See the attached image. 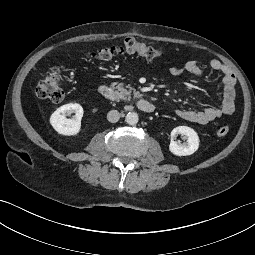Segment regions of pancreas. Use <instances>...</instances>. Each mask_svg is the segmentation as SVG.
Wrapping results in <instances>:
<instances>
[{"label":"pancreas","mask_w":255,"mask_h":255,"mask_svg":"<svg viewBox=\"0 0 255 255\" xmlns=\"http://www.w3.org/2000/svg\"><path fill=\"white\" fill-rule=\"evenodd\" d=\"M116 89L118 91L119 98L122 100L130 101L132 93H133L134 99L142 97V95L138 91H135L134 88L130 86H124L123 83H119L116 86Z\"/></svg>","instance_id":"pancreas-1"}]
</instances>
